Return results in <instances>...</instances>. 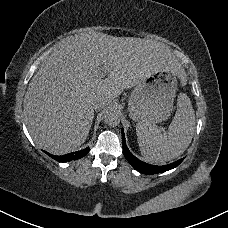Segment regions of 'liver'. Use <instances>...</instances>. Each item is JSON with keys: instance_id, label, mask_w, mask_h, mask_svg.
I'll list each match as a JSON object with an SVG mask.
<instances>
[{"instance_id": "1", "label": "liver", "mask_w": 228, "mask_h": 228, "mask_svg": "<svg viewBox=\"0 0 228 228\" xmlns=\"http://www.w3.org/2000/svg\"><path fill=\"white\" fill-rule=\"evenodd\" d=\"M103 68L108 78L101 77ZM157 71H172L181 87L186 83L184 68L163 43L100 32L60 41L32 77L23 101L35 145L55 155L77 150L93 123L94 98L108 106Z\"/></svg>"}]
</instances>
